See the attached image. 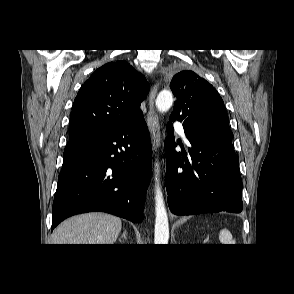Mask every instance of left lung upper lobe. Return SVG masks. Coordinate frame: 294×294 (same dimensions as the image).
<instances>
[{
	"mask_svg": "<svg viewBox=\"0 0 294 294\" xmlns=\"http://www.w3.org/2000/svg\"><path fill=\"white\" fill-rule=\"evenodd\" d=\"M170 88L176 97L170 119L182 122L186 134L233 138L224 102L205 79L184 70L174 75Z\"/></svg>",
	"mask_w": 294,
	"mask_h": 294,
	"instance_id": "1",
	"label": "left lung upper lobe"
}]
</instances>
